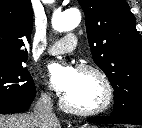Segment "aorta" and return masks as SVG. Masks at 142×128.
<instances>
[{"mask_svg": "<svg viewBox=\"0 0 142 128\" xmlns=\"http://www.w3.org/2000/svg\"><path fill=\"white\" fill-rule=\"evenodd\" d=\"M81 21V13L78 9H68L53 15L52 26L58 32L73 30Z\"/></svg>", "mask_w": 142, "mask_h": 128, "instance_id": "obj_1", "label": "aorta"}]
</instances>
